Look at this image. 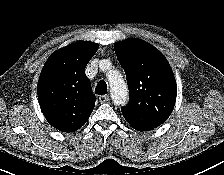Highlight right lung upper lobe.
<instances>
[{"instance_id":"right-lung-upper-lobe-1","label":"right lung upper lobe","mask_w":224,"mask_h":175,"mask_svg":"<svg viewBox=\"0 0 224 175\" xmlns=\"http://www.w3.org/2000/svg\"><path fill=\"white\" fill-rule=\"evenodd\" d=\"M97 50V44L79 41L54 52L46 61L37 93L42 113L54 128L74 132L89 119L96 98L85 67Z\"/></svg>"}]
</instances>
